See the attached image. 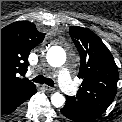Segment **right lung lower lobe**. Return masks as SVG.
<instances>
[{
	"mask_svg": "<svg viewBox=\"0 0 122 122\" xmlns=\"http://www.w3.org/2000/svg\"><path fill=\"white\" fill-rule=\"evenodd\" d=\"M36 92V88L26 93L1 92V118L6 119L19 116L23 111L24 102Z\"/></svg>",
	"mask_w": 122,
	"mask_h": 122,
	"instance_id": "1",
	"label": "right lung lower lobe"
}]
</instances>
